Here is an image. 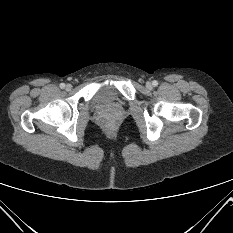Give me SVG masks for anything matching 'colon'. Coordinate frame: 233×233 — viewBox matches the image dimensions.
I'll use <instances>...</instances> for the list:
<instances>
[{"mask_svg": "<svg viewBox=\"0 0 233 233\" xmlns=\"http://www.w3.org/2000/svg\"><path fill=\"white\" fill-rule=\"evenodd\" d=\"M107 128L110 130V129H112V125L111 124H108L107 125Z\"/></svg>", "mask_w": 233, "mask_h": 233, "instance_id": "colon-1", "label": "colon"}]
</instances>
